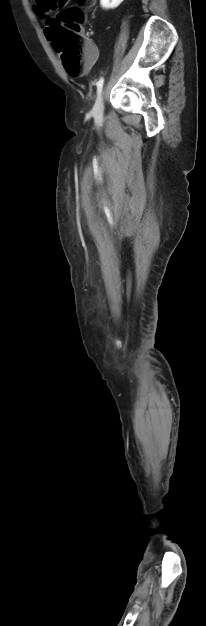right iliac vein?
I'll use <instances>...</instances> for the list:
<instances>
[{
	"label": "right iliac vein",
	"mask_w": 206,
	"mask_h": 626,
	"mask_svg": "<svg viewBox=\"0 0 206 626\" xmlns=\"http://www.w3.org/2000/svg\"><path fill=\"white\" fill-rule=\"evenodd\" d=\"M103 107V95L100 94L94 106V115L97 120L103 116Z\"/></svg>",
	"instance_id": "obj_1"
}]
</instances>
